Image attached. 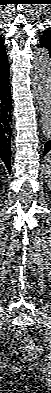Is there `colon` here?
Listing matches in <instances>:
<instances>
[{"mask_svg": "<svg viewBox=\"0 0 51 393\" xmlns=\"http://www.w3.org/2000/svg\"><path fill=\"white\" fill-rule=\"evenodd\" d=\"M11 348L22 360L36 359L42 353L41 347L32 341L28 332L24 329H18L14 333Z\"/></svg>", "mask_w": 51, "mask_h": 393, "instance_id": "1", "label": "colon"}]
</instances>
